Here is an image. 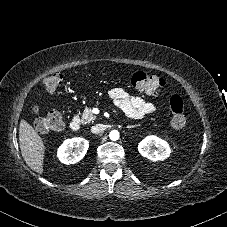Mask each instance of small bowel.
I'll use <instances>...</instances> for the list:
<instances>
[{
  "label": "small bowel",
  "instance_id": "c3829d8e",
  "mask_svg": "<svg viewBox=\"0 0 227 227\" xmlns=\"http://www.w3.org/2000/svg\"><path fill=\"white\" fill-rule=\"evenodd\" d=\"M108 95L115 105L132 119H142L156 110L153 102L139 96H132L121 88L110 89Z\"/></svg>",
  "mask_w": 227,
  "mask_h": 227
}]
</instances>
